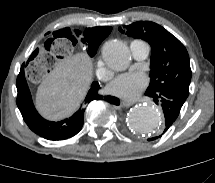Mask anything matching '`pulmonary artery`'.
<instances>
[{
  "label": "pulmonary artery",
  "mask_w": 215,
  "mask_h": 183,
  "mask_svg": "<svg viewBox=\"0 0 215 183\" xmlns=\"http://www.w3.org/2000/svg\"><path fill=\"white\" fill-rule=\"evenodd\" d=\"M150 46L144 41L141 40H133L130 43V51L134 59L136 60H144L148 57L150 53Z\"/></svg>",
  "instance_id": "e3ab8cb5"
}]
</instances>
